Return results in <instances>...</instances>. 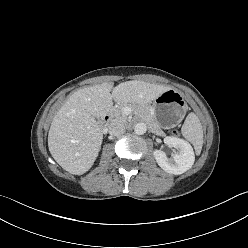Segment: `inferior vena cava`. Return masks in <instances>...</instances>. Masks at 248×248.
<instances>
[{"label":"inferior vena cava","instance_id":"obj_1","mask_svg":"<svg viewBox=\"0 0 248 248\" xmlns=\"http://www.w3.org/2000/svg\"><path fill=\"white\" fill-rule=\"evenodd\" d=\"M125 131H126L125 126L118 121L112 122L108 127V132L112 135H121Z\"/></svg>","mask_w":248,"mask_h":248}]
</instances>
